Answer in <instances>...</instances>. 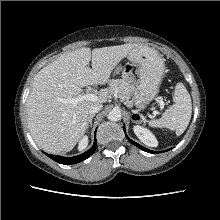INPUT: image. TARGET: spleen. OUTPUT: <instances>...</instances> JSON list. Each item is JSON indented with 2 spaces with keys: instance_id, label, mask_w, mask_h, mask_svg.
Masks as SVG:
<instances>
[{
  "instance_id": "obj_1",
  "label": "spleen",
  "mask_w": 220,
  "mask_h": 220,
  "mask_svg": "<svg viewBox=\"0 0 220 220\" xmlns=\"http://www.w3.org/2000/svg\"><path fill=\"white\" fill-rule=\"evenodd\" d=\"M174 104L163 113L162 117L149 122L150 127L168 128L180 136L187 128L192 114L189 92L182 83H177L174 90Z\"/></svg>"
}]
</instances>
